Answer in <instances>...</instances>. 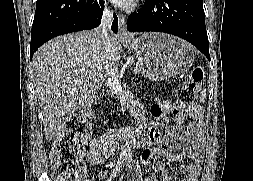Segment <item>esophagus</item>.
<instances>
[{
  "label": "esophagus",
  "mask_w": 253,
  "mask_h": 181,
  "mask_svg": "<svg viewBox=\"0 0 253 181\" xmlns=\"http://www.w3.org/2000/svg\"><path fill=\"white\" fill-rule=\"evenodd\" d=\"M119 28H118V38L127 39L129 38V34L126 29V17L123 14H119Z\"/></svg>",
  "instance_id": "34e87169"
}]
</instances>
